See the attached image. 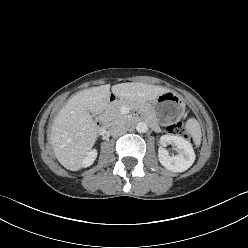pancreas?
<instances>
[{
    "label": "pancreas",
    "mask_w": 248,
    "mask_h": 248,
    "mask_svg": "<svg viewBox=\"0 0 248 248\" xmlns=\"http://www.w3.org/2000/svg\"><path fill=\"white\" fill-rule=\"evenodd\" d=\"M129 102L127 101H122L118 104L113 105L107 112V119L108 121H110L111 123L114 122H125L127 120V116L121 113V107L123 106H128ZM149 107H147L144 110V115L146 116V118L148 119H152L151 115L152 113L148 110Z\"/></svg>",
    "instance_id": "1"
}]
</instances>
